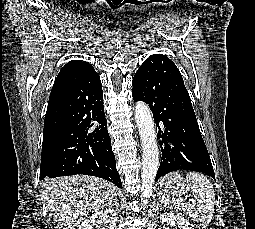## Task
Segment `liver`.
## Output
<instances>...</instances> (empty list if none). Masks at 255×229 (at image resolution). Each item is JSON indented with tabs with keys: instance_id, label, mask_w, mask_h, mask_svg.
<instances>
[{
	"instance_id": "liver-1",
	"label": "liver",
	"mask_w": 255,
	"mask_h": 229,
	"mask_svg": "<svg viewBox=\"0 0 255 229\" xmlns=\"http://www.w3.org/2000/svg\"><path fill=\"white\" fill-rule=\"evenodd\" d=\"M43 188L47 209L63 229H75L89 214L110 206L116 195L112 183L84 175L47 180Z\"/></svg>"
}]
</instances>
